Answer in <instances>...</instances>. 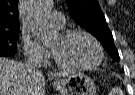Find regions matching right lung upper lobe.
<instances>
[{
	"label": "right lung upper lobe",
	"instance_id": "right-lung-upper-lobe-1",
	"mask_svg": "<svg viewBox=\"0 0 135 95\" xmlns=\"http://www.w3.org/2000/svg\"><path fill=\"white\" fill-rule=\"evenodd\" d=\"M19 29L18 0H0V32Z\"/></svg>",
	"mask_w": 135,
	"mask_h": 95
}]
</instances>
